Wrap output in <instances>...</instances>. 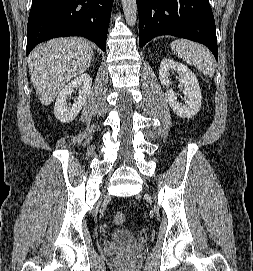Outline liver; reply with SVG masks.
<instances>
[{"label":"liver","instance_id":"obj_1","mask_svg":"<svg viewBox=\"0 0 253 271\" xmlns=\"http://www.w3.org/2000/svg\"><path fill=\"white\" fill-rule=\"evenodd\" d=\"M93 51L79 38H57L37 46L29 56L31 82L43 105H50L71 79L85 72Z\"/></svg>","mask_w":253,"mask_h":271}]
</instances>
